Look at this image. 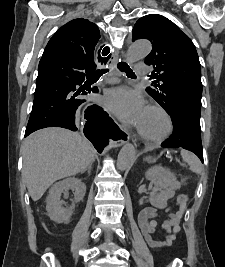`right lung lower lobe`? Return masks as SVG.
Returning <instances> with one entry per match:
<instances>
[{"label":"right lung lower lobe","instance_id":"right-lung-lower-lobe-1","mask_svg":"<svg viewBox=\"0 0 225 267\" xmlns=\"http://www.w3.org/2000/svg\"><path fill=\"white\" fill-rule=\"evenodd\" d=\"M91 73L79 57L44 54L39 62L34 101L24 137L46 127L76 131L75 113L79 106L87 103L83 96L91 91L97 92L96 88H78ZM89 107H93L94 120L90 122L87 118L84 133L101 153L109 138V130L115 124L102 108L96 105Z\"/></svg>","mask_w":225,"mask_h":267}]
</instances>
